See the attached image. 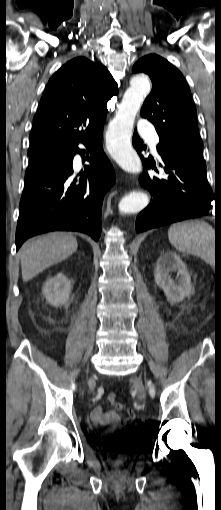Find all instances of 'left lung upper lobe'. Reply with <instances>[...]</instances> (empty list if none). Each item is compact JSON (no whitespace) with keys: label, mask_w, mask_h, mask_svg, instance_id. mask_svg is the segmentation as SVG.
<instances>
[{"label":"left lung upper lobe","mask_w":221,"mask_h":510,"mask_svg":"<svg viewBox=\"0 0 221 510\" xmlns=\"http://www.w3.org/2000/svg\"><path fill=\"white\" fill-rule=\"evenodd\" d=\"M132 71L146 73L152 80V91L141 108V116L156 128L160 138L158 153L206 170L196 108L181 72L156 54L138 60Z\"/></svg>","instance_id":"obj_1"}]
</instances>
